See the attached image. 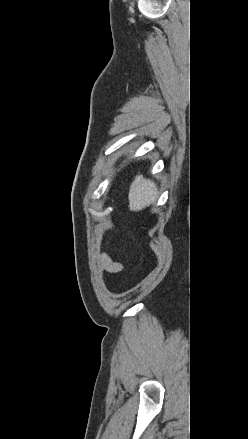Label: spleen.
Instances as JSON below:
<instances>
[{
	"label": "spleen",
	"mask_w": 248,
	"mask_h": 439,
	"mask_svg": "<svg viewBox=\"0 0 248 439\" xmlns=\"http://www.w3.org/2000/svg\"><path fill=\"white\" fill-rule=\"evenodd\" d=\"M157 186L146 180L142 175L135 177L129 189V207L133 211H140L157 200Z\"/></svg>",
	"instance_id": "spleen-1"
}]
</instances>
